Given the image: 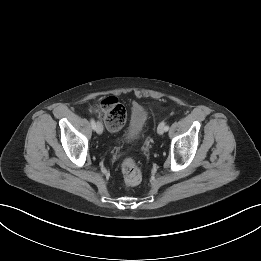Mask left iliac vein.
<instances>
[{
  "label": "left iliac vein",
  "mask_w": 261,
  "mask_h": 261,
  "mask_svg": "<svg viewBox=\"0 0 261 261\" xmlns=\"http://www.w3.org/2000/svg\"><path fill=\"white\" fill-rule=\"evenodd\" d=\"M165 127H166L165 123H163V122L160 123L157 128L158 134L162 135L165 132Z\"/></svg>",
  "instance_id": "obj_1"
}]
</instances>
